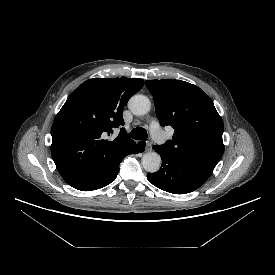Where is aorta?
Returning a JSON list of instances; mask_svg holds the SVG:
<instances>
[{
  "label": "aorta",
  "instance_id": "obj_1",
  "mask_svg": "<svg viewBox=\"0 0 275 275\" xmlns=\"http://www.w3.org/2000/svg\"><path fill=\"white\" fill-rule=\"evenodd\" d=\"M128 107L135 115H145L150 111L151 102L144 95H134L130 98ZM143 168L150 173H155L161 166V157L156 152L145 153L142 157Z\"/></svg>",
  "mask_w": 275,
  "mask_h": 275
}]
</instances>
